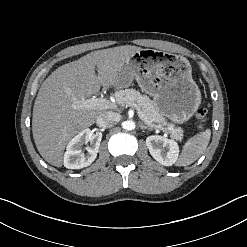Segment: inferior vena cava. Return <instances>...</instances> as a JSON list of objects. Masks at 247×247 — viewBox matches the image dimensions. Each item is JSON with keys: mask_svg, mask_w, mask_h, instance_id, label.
Wrapping results in <instances>:
<instances>
[{"mask_svg": "<svg viewBox=\"0 0 247 247\" xmlns=\"http://www.w3.org/2000/svg\"><path fill=\"white\" fill-rule=\"evenodd\" d=\"M119 120V115L112 111H106L99 115L96 119V124L100 128H108L113 126Z\"/></svg>", "mask_w": 247, "mask_h": 247, "instance_id": "1", "label": "inferior vena cava"}]
</instances>
